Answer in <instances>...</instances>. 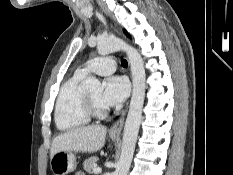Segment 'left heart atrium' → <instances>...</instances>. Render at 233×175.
I'll return each mask as SVG.
<instances>
[{
    "mask_svg": "<svg viewBox=\"0 0 233 175\" xmlns=\"http://www.w3.org/2000/svg\"><path fill=\"white\" fill-rule=\"evenodd\" d=\"M129 94V84L121 76H111L104 82L101 102L105 107L118 106L124 102Z\"/></svg>",
    "mask_w": 233,
    "mask_h": 175,
    "instance_id": "obj_1",
    "label": "left heart atrium"
}]
</instances>
